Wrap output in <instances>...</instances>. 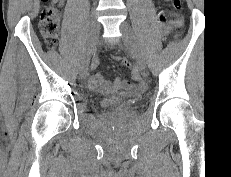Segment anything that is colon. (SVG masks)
I'll return each mask as SVG.
<instances>
[{
	"label": "colon",
	"mask_w": 231,
	"mask_h": 177,
	"mask_svg": "<svg viewBox=\"0 0 231 177\" xmlns=\"http://www.w3.org/2000/svg\"><path fill=\"white\" fill-rule=\"evenodd\" d=\"M46 6L42 11L39 27L40 32L43 36V39L46 45L49 48H54L58 41L59 35V26H60V17L57 9L55 8L56 3L59 0H42ZM169 3V7L175 13L180 10L181 0H167ZM160 21L162 23L165 22V18L162 14H160ZM114 59L118 60L122 66L126 68L131 67L130 60L126 57H115Z\"/></svg>",
	"instance_id": "5ec220e1"
}]
</instances>
